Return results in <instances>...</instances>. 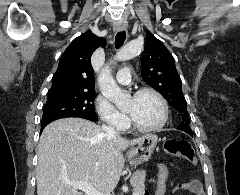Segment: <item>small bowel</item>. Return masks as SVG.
I'll use <instances>...</instances> for the list:
<instances>
[{"label":"small bowel","instance_id":"c3829d8e","mask_svg":"<svg viewBox=\"0 0 240 195\" xmlns=\"http://www.w3.org/2000/svg\"><path fill=\"white\" fill-rule=\"evenodd\" d=\"M195 181V180H194ZM179 190H185V186H177L175 188V191H179Z\"/></svg>","mask_w":240,"mask_h":195}]
</instances>
